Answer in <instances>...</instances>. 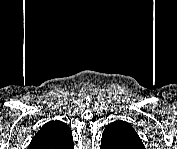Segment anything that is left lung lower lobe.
I'll return each mask as SVG.
<instances>
[{"mask_svg":"<svg viewBox=\"0 0 177 149\" xmlns=\"http://www.w3.org/2000/svg\"><path fill=\"white\" fill-rule=\"evenodd\" d=\"M102 146V148H105V147H107L106 145H101Z\"/></svg>","mask_w":177,"mask_h":149,"instance_id":"left-lung-lower-lobe-1","label":"left lung lower lobe"}]
</instances>
